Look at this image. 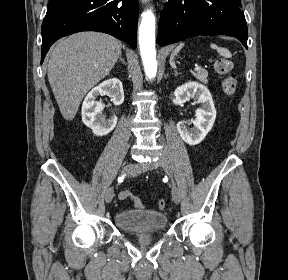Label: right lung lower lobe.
Here are the masks:
<instances>
[{
	"label": "right lung lower lobe",
	"mask_w": 288,
	"mask_h": 280,
	"mask_svg": "<svg viewBox=\"0 0 288 280\" xmlns=\"http://www.w3.org/2000/svg\"><path fill=\"white\" fill-rule=\"evenodd\" d=\"M138 0H51L42 24L41 63L59 38L80 31L113 35L136 48Z\"/></svg>",
	"instance_id": "obj_1"
}]
</instances>
